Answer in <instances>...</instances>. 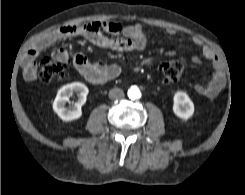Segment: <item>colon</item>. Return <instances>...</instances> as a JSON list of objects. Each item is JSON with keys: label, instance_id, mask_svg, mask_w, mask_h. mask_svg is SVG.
<instances>
[{"label": "colon", "instance_id": "colon-1", "mask_svg": "<svg viewBox=\"0 0 245 195\" xmlns=\"http://www.w3.org/2000/svg\"><path fill=\"white\" fill-rule=\"evenodd\" d=\"M166 81H177L183 73V65L179 60H170L161 67ZM67 64L65 60L44 57L40 61V78L44 82L59 81L65 77Z\"/></svg>", "mask_w": 245, "mask_h": 195}]
</instances>
